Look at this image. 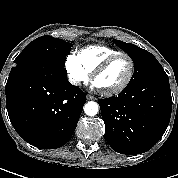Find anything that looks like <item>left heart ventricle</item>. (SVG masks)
Returning a JSON list of instances; mask_svg holds the SVG:
<instances>
[{
  "instance_id": "1",
  "label": "left heart ventricle",
  "mask_w": 178,
  "mask_h": 178,
  "mask_svg": "<svg viewBox=\"0 0 178 178\" xmlns=\"http://www.w3.org/2000/svg\"><path fill=\"white\" fill-rule=\"evenodd\" d=\"M129 73V61L122 57L112 63L104 72L96 79L95 84L101 90H111L122 84Z\"/></svg>"
}]
</instances>
